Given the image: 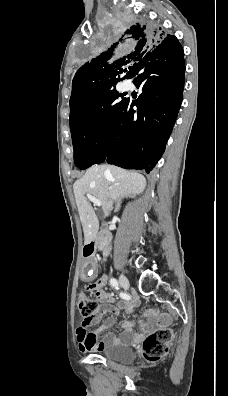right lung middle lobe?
Here are the masks:
<instances>
[{
    "label": "right lung middle lobe",
    "mask_w": 228,
    "mask_h": 396,
    "mask_svg": "<svg viewBox=\"0 0 228 396\" xmlns=\"http://www.w3.org/2000/svg\"><path fill=\"white\" fill-rule=\"evenodd\" d=\"M125 28L124 23L116 27L111 33L112 37L102 40L98 44V49H103L109 45L117 36L123 33ZM120 97H123V95L119 94L115 89H109L82 113L70 119L74 162L78 168L83 170L93 164L104 161L109 135L125 99L122 98L120 102H116V99Z\"/></svg>",
    "instance_id": "right-lung-middle-lobe-1"
}]
</instances>
